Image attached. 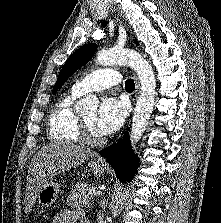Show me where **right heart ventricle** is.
I'll return each mask as SVG.
<instances>
[{
	"label": "right heart ventricle",
	"mask_w": 221,
	"mask_h": 223,
	"mask_svg": "<svg viewBox=\"0 0 221 223\" xmlns=\"http://www.w3.org/2000/svg\"><path fill=\"white\" fill-rule=\"evenodd\" d=\"M79 95L72 90L64 93L52 107L48 119V138L54 142L76 143L80 116L73 105Z\"/></svg>",
	"instance_id": "e07e8e85"
}]
</instances>
